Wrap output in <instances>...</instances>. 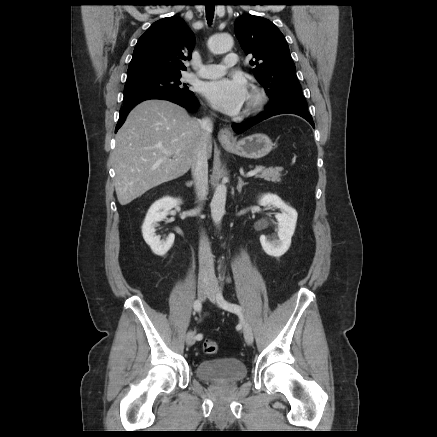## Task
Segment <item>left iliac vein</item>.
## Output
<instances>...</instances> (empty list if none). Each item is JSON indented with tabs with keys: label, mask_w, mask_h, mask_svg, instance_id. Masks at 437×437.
<instances>
[{
	"label": "left iliac vein",
	"mask_w": 437,
	"mask_h": 437,
	"mask_svg": "<svg viewBox=\"0 0 437 437\" xmlns=\"http://www.w3.org/2000/svg\"><path fill=\"white\" fill-rule=\"evenodd\" d=\"M208 298L213 303L217 302L216 290L214 288H212L210 290ZM243 334H244V338H245V341L247 342V344L251 345L253 343V338H254L253 332H252V328L250 327V325L246 321L243 322Z\"/></svg>",
	"instance_id": "1"
}]
</instances>
